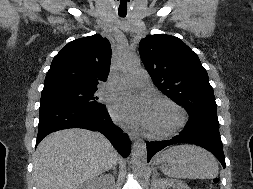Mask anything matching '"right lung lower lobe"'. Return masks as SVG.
<instances>
[{
  "label": "right lung lower lobe",
  "mask_w": 253,
  "mask_h": 189,
  "mask_svg": "<svg viewBox=\"0 0 253 189\" xmlns=\"http://www.w3.org/2000/svg\"><path fill=\"white\" fill-rule=\"evenodd\" d=\"M38 135L36 145L49 133L66 128L97 130L106 136L118 153L127 157L130 154V141L111 120L105 108L45 103L40 105Z\"/></svg>",
  "instance_id": "right-lung-lower-lobe-1"
}]
</instances>
